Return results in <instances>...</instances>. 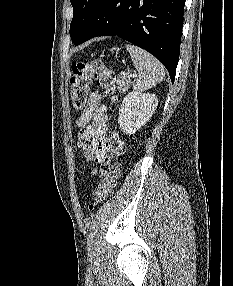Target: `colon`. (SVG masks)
I'll use <instances>...</instances> for the list:
<instances>
[{"label": "colon", "mask_w": 233, "mask_h": 286, "mask_svg": "<svg viewBox=\"0 0 233 286\" xmlns=\"http://www.w3.org/2000/svg\"><path fill=\"white\" fill-rule=\"evenodd\" d=\"M93 80L103 89L109 102H116L115 75L103 62L99 60L75 62L72 64L70 78L71 100L74 108L82 109L86 106L88 92ZM105 148L107 154L101 164V179L93 194L94 202L90 205V208L102 203L112 194L120 177L125 147L116 130L111 132Z\"/></svg>", "instance_id": "5ec220e1"}]
</instances>
